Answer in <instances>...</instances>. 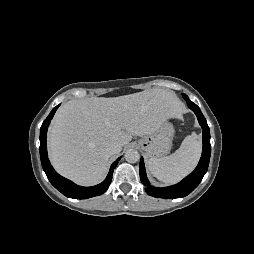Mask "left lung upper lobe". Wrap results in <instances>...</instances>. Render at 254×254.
Listing matches in <instances>:
<instances>
[{"label": "left lung upper lobe", "mask_w": 254, "mask_h": 254, "mask_svg": "<svg viewBox=\"0 0 254 254\" xmlns=\"http://www.w3.org/2000/svg\"><path fill=\"white\" fill-rule=\"evenodd\" d=\"M183 98L186 100V99H189L185 94H183Z\"/></svg>", "instance_id": "1"}]
</instances>
